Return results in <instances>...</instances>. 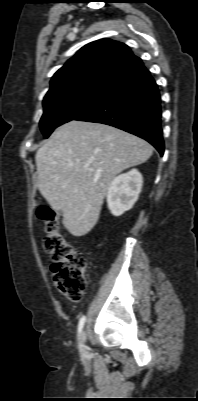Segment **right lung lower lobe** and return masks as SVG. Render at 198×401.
Masks as SVG:
<instances>
[{
    "mask_svg": "<svg viewBox=\"0 0 198 401\" xmlns=\"http://www.w3.org/2000/svg\"><path fill=\"white\" fill-rule=\"evenodd\" d=\"M75 120L117 127L147 140L161 156L164 153L159 90L143 65L110 86L92 109Z\"/></svg>",
    "mask_w": 198,
    "mask_h": 401,
    "instance_id": "obj_1",
    "label": "right lung lower lobe"
}]
</instances>
